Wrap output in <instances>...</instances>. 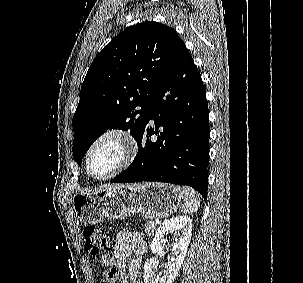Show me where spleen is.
<instances>
[{
	"mask_svg": "<svg viewBox=\"0 0 303 283\" xmlns=\"http://www.w3.org/2000/svg\"><path fill=\"white\" fill-rule=\"evenodd\" d=\"M184 204L181 207V211L184 214L193 213L200 207V198L198 194L191 188H182Z\"/></svg>",
	"mask_w": 303,
	"mask_h": 283,
	"instance_id": "spleen-1",
	"label": "spleen"
}]
</instances>
